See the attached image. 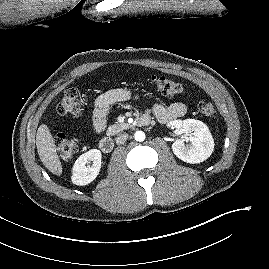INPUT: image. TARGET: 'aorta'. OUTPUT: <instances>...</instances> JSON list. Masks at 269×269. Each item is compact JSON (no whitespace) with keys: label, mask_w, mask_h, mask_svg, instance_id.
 <instances>
[{"label":"aorta","mask_w":269,"mask_h":269,"mask_svg":"<svg viewBox=\"0 0 269 269\" xmlns=\"http://www.w3.org/2000/svg\"><path fill=\"white\" fill-rule=\"evenodd\" d=\"M134 138L136 141L142 142L145 140V133L142 131H136L134 134Z\"/></svg>","instance_id":"obj_1"}]
</instances>
